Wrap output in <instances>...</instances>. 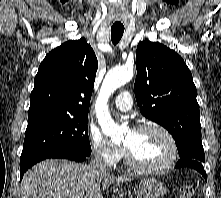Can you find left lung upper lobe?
I'll return each instance as SVG.
<instances>
[{"mask_svg": "<svg viewBox=\"0 0 221 198\" xmlns=\"http://www.w3.org/2000/svg\"><path fill=\"white\" fill-rule=\"evenodd\" d=\"M136 68L134 91L141 113L170 132L181 159L203 163L197 91L183 59L158 42L142 41Z\"/></svg>", "mask_w": 221, "mask_h": 198, "instance_id": "5c2ea615", "label": "left lung upper lobe"}]
</instances>
